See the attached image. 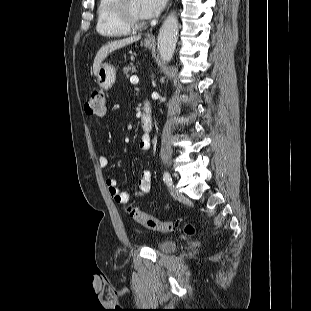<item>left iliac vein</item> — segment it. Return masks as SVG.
Returning <instances> with one entry per match:
<instances>
[{
  "mask_svg": "<svg viewBox=\"0 0 311 311\" xmlns=\"http://www.w3.org/2000/svg\"><path fill=\"white\" fill-rule=\"evenodd\" d=\"M171 195L176 199L181 198L183 196L182 193L174 186L171 187Z\"/></svg>",
  "mask_w": 311,
  "mask_h": 311,
  "instance_id": "left-iliac-vein-1",
  "label": "left iliac vein"
}]
</instances>
